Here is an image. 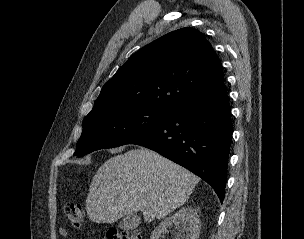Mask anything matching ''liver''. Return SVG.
Masks as SVG:
<instances>
[{
  "instance_id": "liver-1",
  "label": "liver",
  "mask_w": 304,
  "mask_h": 239,
  "mask_svg": "<svg viewBox=\"0 0 304 239\" xmlns=\"http://www.w3.org/2000/svg\"><path fill=\"white\" fill-rule=\"evenodd\" d=\"M199 178L146 149H132L107 160L96 172L86 199L89 219L112 224L141 211L146 222L183 205Z\"/></svg>"
}]
</instances>
